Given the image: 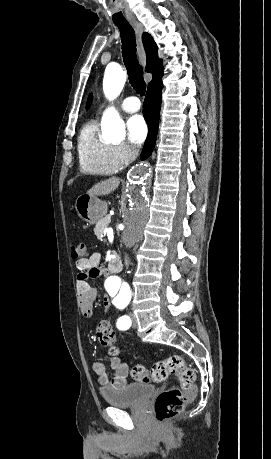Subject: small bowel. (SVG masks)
Masks as SVG:
<instances>
[{"label": "small bowel", "mask_w": 271, "mask_h": 459, "mask_svg": "<svg viewBox=\"0 0 271 459\" xmlns=\"http://www.w3.org/2000/svg\"><path fill=\"white\" fill-rule=\"evenodd\" d=\"M100 261L101 256L97 252L76 261V268L80 271L77 275L78 301L81 313L86 319L92 316L93 306L97 299V290L90 285L89 280H95L105 273L104 269L99 266ZM110 305L109 298H105V313L109 311ZM93 370L102 388H121L127 384L128 366L118 356L111 358L112 375L103 363H95Z\"/></svg>", "instance_id": "1"}]
</instances>
